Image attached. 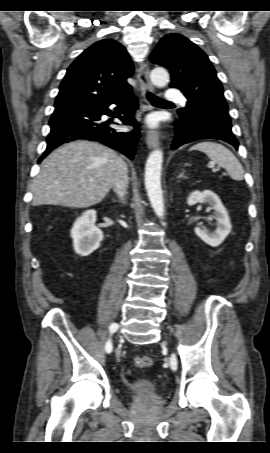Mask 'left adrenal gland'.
<instances>
[{
  "label": "left adrenal gland",
  "instance_id": "1",
  "mask_svg": "<svg viewBox=\"0 0 270 453\" xmlns=\"http://www.w3.org/2000/svg\"><path fill=\"white\" fill-rule=\"evenodd\" d=\"M178 178H187V176H185L184 170L179 174Z\"/></svg>",
  "mask_w": 270,
  "mask_h": 453
}]
</instances>
